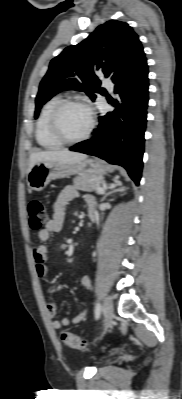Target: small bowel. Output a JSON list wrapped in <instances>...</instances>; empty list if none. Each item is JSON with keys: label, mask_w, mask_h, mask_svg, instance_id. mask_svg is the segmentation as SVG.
<instances>
[{"label": "small bowel", "mask_w": 182, "mask_h": 399, "mask_svg": "<svg viewBox=\"0 0 182 399\" xmlns=\"http://www.w3.org/2000/svg\"><path fill=\"white\" fill-rule=\"evenodd\" d=\"M79 196V191L73 186L65 187L55 198L52 205V216L47 222L45 228L37 233L38 240L40 243L34 248V261L36 265V272L39 277H45L48 274V247L47 242L50 237L56 233H59L65 222L66 209L69 203ZM89 209H95L96 203L91 196H86ZM81 284L86 288L90 289L91 282L88 276H84L81 279ZM47 311L51 317V325L54 329H61L63 327L76 324L81 322L87 314L85 308H83L78 314L71 317H64L59 320L57 316V307L53 302L48 303Z\"/></svg>", "instance_id": "c3829d8e"}]
</instances>
